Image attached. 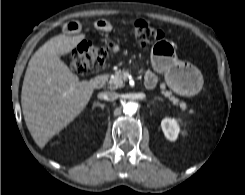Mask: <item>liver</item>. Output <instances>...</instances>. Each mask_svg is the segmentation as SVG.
<instances>
[{
  "label": "liver",
  "mask_w": 245,
  "mask_h": 195,
  "mask_svg": "<svg viewBox=\"0 0 245 195\" xmlns=\"http://www.w3.org/2000/svg\"><path fill=\"white\" fill-rule=\"evenodd\" d=\"M84 39V34L55 36L28 63L21 105L27 128L40 148L85 109L94 92L91 83L79 81L60 59Z\"/></svg>",
  "instance_id": "1"
}]
</instances>
